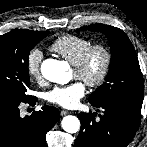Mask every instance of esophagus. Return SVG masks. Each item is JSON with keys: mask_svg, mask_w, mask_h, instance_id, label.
<instances>
[{"mask_svg": "<svg viewBox=\"0 0 147 147\" xmlns=\"http://www.w3.org/2000/svg\"><path fill=\"white\" fill-rule=\"evenodd\" d=\"M70 112L69 111H67V110H61L60 111V115L61 116H65V115H67V114H69Z\"/></svg>", "mask_w": 147, "mask_h": 147, "instance_id": "obj_1", "label": "esophagus"}]
</instances>
